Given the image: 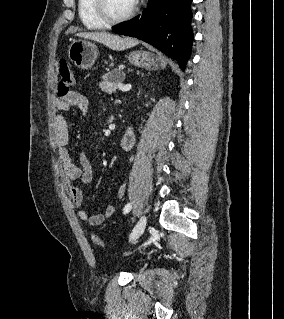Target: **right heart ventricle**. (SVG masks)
Returning <instances> with one entry per match:
<instances>
[{"label":"right heart ventricle","mask_w":284,"mask_h":319,"mask_svg":"<svg viewBox=\"0 0 284 319\" xmlns=\"http://www.w3.org/2000/svg\"><path fill=\"white\" fill-rule=\"evenodd\" d=\"M78 15L82 24L91 30L103 29L107 24L98 16L94 0H78Z\"/></svg>","instance_id":"obj_1"}]
</instances>
